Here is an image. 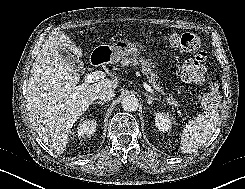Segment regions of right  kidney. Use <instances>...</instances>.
I'll use <instances>...</instances> for the list:
<instances>
[{"instance_id": "1", "label": "right kidney", "mask_w": 245, "mask_h": 189, "mask_svg": "<svg viewBox=\"0 0 245 189\" xmlns=\"http://www.w3.org/2000/svg\"><path fill=\"white\" fill-rule=\"evenodd\" d=\"M96 126H97L96 120L85 119L77 127L76 136H78L79 138L89 137L94 134L96 130Z\"/></svg>"}]
</instances>
